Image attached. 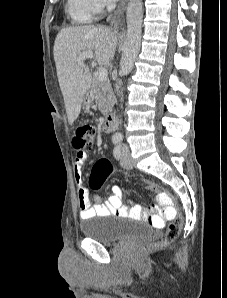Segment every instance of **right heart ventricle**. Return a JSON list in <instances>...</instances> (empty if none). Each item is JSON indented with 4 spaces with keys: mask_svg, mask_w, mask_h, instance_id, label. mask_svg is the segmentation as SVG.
<instances>
[{
    "mask_svg": "<svg viewBox=\"0 0 227 298\" xmlns=\"http://www.w3.org/2000/svg\"><path fill=\"white\" fill-rule=\"evenodd\" d=\"M67 12L74 20L80 23L89 22L93 17L90 13L81 8L76 0H68Z\"/></svg>",
    "mask_w": 227,
    "mask_h": 298,
    "instance_id": "1",
    "label": "right heart ventricle"
}]
</instances>
